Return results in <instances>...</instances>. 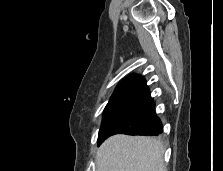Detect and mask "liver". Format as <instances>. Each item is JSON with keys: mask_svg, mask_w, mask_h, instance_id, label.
Masks as SVG:
<instances>
[{"mask_svg": "<svg viewBox=\"0 0 223 171\" xmlns=\"http://www.w3.org/2000/svg\"><path fill=\"white\" fill-rule=\"evenodd\" d=\"M164 152V145L155 138L115 135L99 147L97 171H166Z\"/></svg>", "mask_w": 223, "mask_h": 171, "instance_id": "obj_1", "label": "liver"}]
</instances>
